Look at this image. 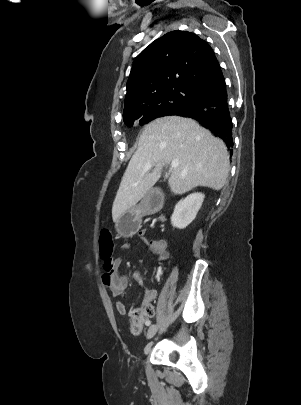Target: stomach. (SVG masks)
<instances>
[{"mask_svg": "<svg viewBox=\"0 0 301 405\" xmlns=\"http://www.w3.org/2000/svg\"><path fill=\"white\" fill-rule=\"evenodd\" d=\"M140 208L127 210L116 222V229L121 235L135 233L141 227Z\"/></svg>", "mask_w": 301, "mask_h": 405, "instance_id": "stomach-1", "label": "stomach"}]
</instances>
